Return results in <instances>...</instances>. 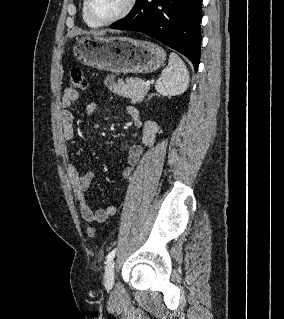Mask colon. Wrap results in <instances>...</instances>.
<instances>
[{"label": "colon", "mask_w": 284, "mask_h": 319, "mask_svg": "<svg viewBox=\"0 0 284 319\" xmlns=\"http://www.w3.org/2000/svg\"><path fill=\"white\" fill-rule=\"evenodd\" d=\"M69 85L72 89L82 90L86 87V79L83 70L80 67H73L69 71ZM88 236L95 237L96 230L94 227L87 229Z\"/></svg>", "instance_id": "colon-1"}]
</instances>
